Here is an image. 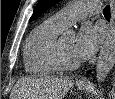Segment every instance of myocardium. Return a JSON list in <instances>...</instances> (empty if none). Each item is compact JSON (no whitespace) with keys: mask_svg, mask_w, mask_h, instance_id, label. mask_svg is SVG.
<instances>
[{"mask_svg":"<svg viewBox=\"0 0 115 99\" xmlns=\"http://www.w3.org/2000/svg\"><path fill=\"white\" fill-rule=\"evenodd\" d=\"M54 58H55L57 64L59 65V67L64 70H74V69H77L81 65L80 61L73 62V61L68 60L65 57V55L62 51L60 41L56 42V45L54 48Z\"/></svg>","mask_w":115,"mask_h":99,"instance_id":"1","label":"myocardium"}]
</instances>
